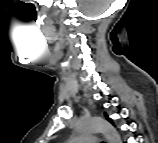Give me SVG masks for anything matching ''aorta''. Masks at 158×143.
<instances>
[{
    "mask_svg": "<svg viewBox=\"0 0 158 143\" xmlns=\"http://www.w3.org/2000/svg\"><path fill=\"white\" fill-rule=\"evenodd\" d=\"M77 131L82 134L101 132L105 135L108 143H121L119 133L109 122L102 118L81 120L77 125Z\"/></svg>",
    "mask_w": 158,
    "mask_h": 143,
    "instance_id": "762f6f07",
    "label": "aorta"
}]
</instances>
